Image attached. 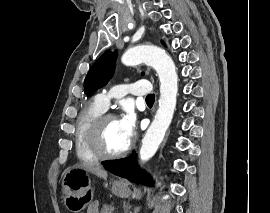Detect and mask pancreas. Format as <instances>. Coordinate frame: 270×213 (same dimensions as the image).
<instances>
[{"label":"pancreas","instance_id":"obj_1","mask_svg":"<svg viewBox=\"0 0 270 213\" xmlns=\"http://www.w3.org/2000/svg\"><path fill=\"white\" fill-rule=\"evenodd\" d=\"M114 210V207L109 204H104L101 208V213H111Z\"/></svg>","mask_w":270,"mask_h":213}]
</instances>
